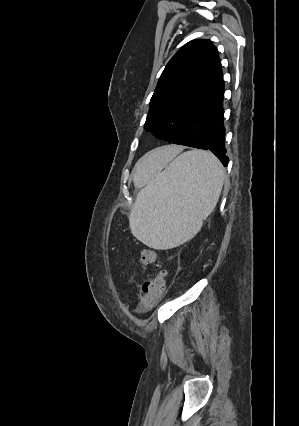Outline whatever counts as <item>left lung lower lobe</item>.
<instances>
[{
  "label": "left lung lower lobe",
  "instance_id": "0a47b994",
  "mask_svg": "<svg viewBox=\"0 0 299 426\" xmlns=\"http://www.w3.org/2000/svg\"><path fill=\"white\" fill-rule=\"evenodd\" d=\"M223 98L224 84L214 96L191 115L171 143L210 150L224 166H227Z\"/></svg>",
  "mask_w": 299,
  "mask_h": 426
}]
</instances>
